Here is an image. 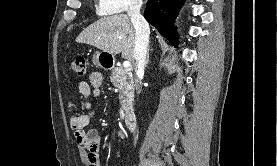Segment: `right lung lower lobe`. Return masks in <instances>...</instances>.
I'll return each instance as SVG.
<instances>
[{"mask_svg": "<svg viewBox=\"0 0 277 166\" xmlns=\"http://www.w3.org/2000/svg\"><path fill=\"white\" fill-rule=\"evenodd\" d=\"M185 0H148L144 17L172 44L177 45L176 27L172 25Z\"/></svg>", "mask_w": 277, "mask_h": 166, "instance_id": "98d812e1", "label": "right lung lower lobe"}]
</instances>
